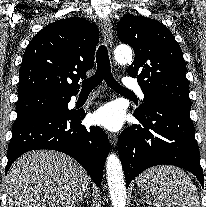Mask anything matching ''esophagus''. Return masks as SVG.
I'll use <instances>...</instances> for the list:
<instances>
[{"instance_id":"1","label":"esophagus","mask_w":206,"mask_h":207,"mask_svg":"<svg viewBox=\"0 0 206 207\" xmlns=\"http://www.w3.org/2000/svg\"><path fill=\"white\" fill-rule=\"evenodd\" d=\"M101 29H102V35H103L105 43L111 46L112 40H113V26H112L111 20L108 18H104L101 21ZM108 138H109L111 145L115 147L118 141L117 134L109 133Z\"/></svg>"}]
</instances>
